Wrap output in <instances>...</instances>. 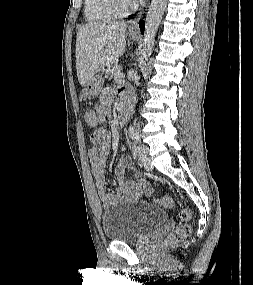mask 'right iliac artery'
<instances>
[{
  "mask_svg": "<svg viewBox=\"0 0 253 285\" xmlns=\"http://www.w3.org/2000/svg\"><path fill=\"white\" fill-rule=\"evenodd\" d=\"M133 155H134V158H135L136 155H137V150H136V146H135V145L133 146Z\"/></svg>",
  "mask_w": 253,
  "mask_h": 285,
  "instance_id": "1",
  "label": "right iliac artery"
}]
</instances>
